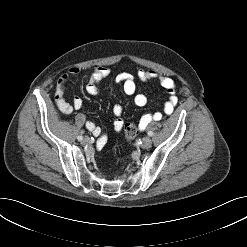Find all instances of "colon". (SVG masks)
Segmentation results:
<instances>
[{
  "instance_id": "obj_1",
  "label": "colon",
  "mask_w": 247,
  "mask_h": 247,
  "mask_svg": "<svg viewBox=\"0 0 247 247\" xmlns=\"http://www.w3.org/2000/svg\"><path fill=\"white\" fill-rule=\"evenodd\" d=\"M125 139L131 142L137 135V127L134 123H128L124 126Z\"/></svg>"
}]
</instances>
